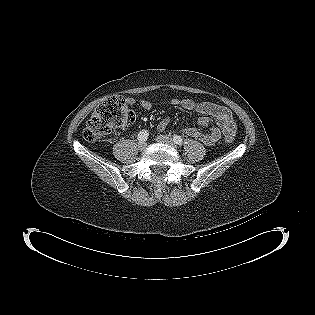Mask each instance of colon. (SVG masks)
Instances as JSON below:
<instances>
[{
    "mask_svg": "<svg viewBox=\"0 0 315 315\" xmlns=\"http://www.w3.org/2000/svg\"><path fill=\"white\" fill-rule=\"evenodd\" d=\"M135 119L129 109L127 99L121 95H113L103 101L92 113L83 130V138L94 142L117 128L125 127ZM227 142H232L231 135H225Z\"/></svg>",
    "mask_w": 315,
    "mask_h": 315,
    "instance_id": "colon-1",
    "label": "colon"
}]
</instances>
